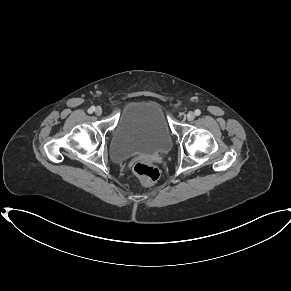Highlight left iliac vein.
I'll return each mask as SVG.
<instances>
[{
	"label": "left iliac vein",
	"instance_id": "1",
	"mask_svg": "<svg viewBox=\"0 0 291 291\" xmlns=\"http://www.w3.org/2000/svg\"><path fill=\"white\" fill-rule=\"evenodd\" d=\"M194 118H195V114H194L193 112H189V113L187 114V119H188L189 121H192Z\"/></svg>",
	"mask_w": 291,
	"mask_h": 291
}]
</instances>
